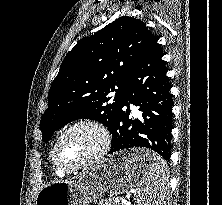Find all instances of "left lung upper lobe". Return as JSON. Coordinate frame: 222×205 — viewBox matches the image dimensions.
<instances>
[{"mask_svg":"<svg viewBox=\"0 0 222 205\" xmlns=\"http://www.w3.org/2000/svg\"><path fill=\"white\" fill-rule=\"evenodd\" d=\"M151 34L141 20L123 16L78 41L51 84L49 105L40 121L42 141L76 119L96 120L110 131L121 108L127 75Z\"/></svg>","mask_w":222,"mask_h":205,"instance_id":"1","label":"left lung upper lobe"}]
</instances>
